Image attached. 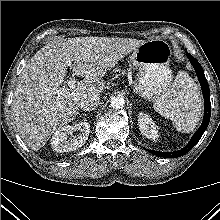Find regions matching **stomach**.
I'll list each match as a JSON object with an SVG mask.
<instances>
[{
    "label": "stomach",
    "instance_id": "0dacf381",
    "mask_svg": "<svg viewBox=\"0 0 220 220\" xmlns=\"http://www.w3.org/2000/svg\"><path fill=\"white\" fill-rule=\"evenodd\" d=\"M172 51L162 39L145 41L133 50L130 59L138 70L133 90L139 96L156 101L171 86L172 70L169 67Z\"/></svg>",
    "mask_w": 220,
    "mask_h": 220
}]
</instances>
